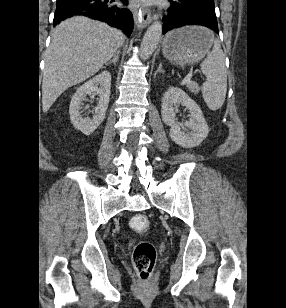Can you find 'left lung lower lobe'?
Here are the masks:
<instances>
[{"label":"left lung lower lobe","mask_w":286,"mask_h":308,"mask_svg":"<svg viewBox=\"0 0 286 308\" xmlns=\"http://www.w3.org/2000/svg\"><path fill=\"white\" fill-rule=\"evenodd\" d=\"M171 7L163 19V33L186 25H202L218 31L214 0H169Z\"/></svg>","instance_id":"left-lung-lower-lobe-1"}]
</instances>
